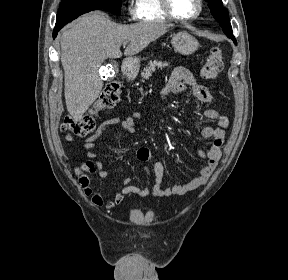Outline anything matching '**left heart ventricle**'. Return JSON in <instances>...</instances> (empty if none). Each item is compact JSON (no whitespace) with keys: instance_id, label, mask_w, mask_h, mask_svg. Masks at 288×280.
<instances>
[{"instance_id":"b2bd125f","label":"left heart ventricle","mask_w":288,"mask_h":280,"mask_svg":"<svg viewBox=\"0 0 288 280\" xmlns=\"http://www.w3.org/2000/svg\"><path fill=\"white\" fill-rule=\"evenodd\" d=\"M175 15L181 18L192 16L197 11V0H170Z\"/></svg>"}]
</instances>
